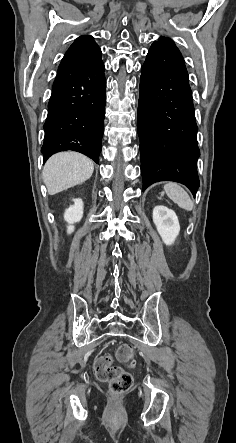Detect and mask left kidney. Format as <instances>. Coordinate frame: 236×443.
Returning <instances> with one entry per match:
<instances>
[{"mask_svg":"<svg viewBox=\"0 0 236 443\" xmlns=\"http://www.w3.org/2000/svg\"><path fill=\"white\" fill-rule=\"evenodd\" d=\"M153 222L163 242L172 245L180 232L175 212L166 206H156L153 210Z\"/></svg>","mask_w":236,"mask_h":443,"instance_id":"obj_1","label":"left kidney"}]
</instances>
